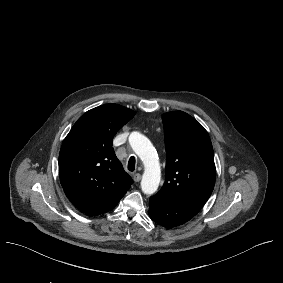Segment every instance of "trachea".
<instances>
[{
	"mask_svg": "<svg viewBox=\"0 0 283 283\" xmlns=\"http://www.w3.org/2000/svg\"><path fill=\"white\" fill-rule=\"evenodd\" d=\"M135 157H130L129 158V161H128V165H127V168L129 171L133 172L135 170Z\"/></svg>",
	"mask_w": 283,
	"mask_h": 283,
	"instance_id": "obj_1",
	"label": "trachea"
}]
</instances>
